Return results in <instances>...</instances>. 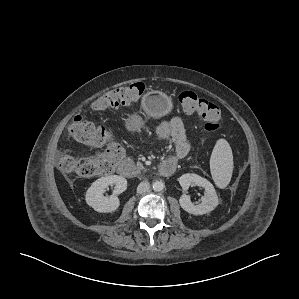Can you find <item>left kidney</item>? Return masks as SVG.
I'll use <instances>...</instances> for the list:
<instances>
[{
    "label": "left kidney",
    "instance_id": "obj_1",
    "mask_svg": "<svg viewBox=\"0 0 299 299\" xmlns=\"http://www.w3.org/2000/svg\"><path fill=\"white\" fill-rule=\"evenodd\" d=\"M178 181L184 191H186L192 184L201 186L205 189L204 197H202L201 203L197 205H194L190 197L186 194H183L180 197V206L186 212L193 215H203L213 211L218 206L219 200L214 186L207 179L197 174L187 173L183 174Z\"/></svg>",
    "mask_w": 299,
    "mask_h": 299
}]
</instances>
